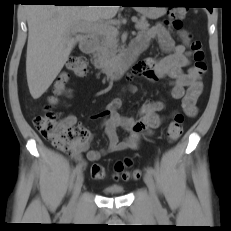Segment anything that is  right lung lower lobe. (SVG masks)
I'll list each match as a JSON object with an SVG mask.
<instances>
[{
    "instance_id": "right-lung-lower-lobe-1",
    "label": "right lung lower lobe",
    "mask_w": 231,
    "mask_h": 231,
    "mask_svg": "<svg viewBox=\"0 0 231 231\" xmlns=\"http://www.w3.org/2000/svg\"><path fill=\"white\" fill-rule=\"evenodd\" d=\"M30 3H51L54 5H83V0H26Z\"/></svg>"
}]
</instances>
